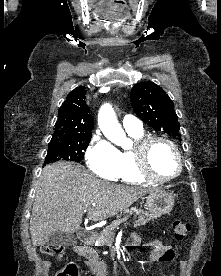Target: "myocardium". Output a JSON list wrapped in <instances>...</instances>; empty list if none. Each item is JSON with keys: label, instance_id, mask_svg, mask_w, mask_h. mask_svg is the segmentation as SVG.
Here are the masks:
<instances>
[{"label": "myocardium", "instance_id": "1", "mask_svg": "<svg viewBox=\"0 0 221 276\" xmlns=\"http://www.w3.org/2000/svg\"><path fill=\"white\" fill-rule=\"evenodd\" d=\"M157 141H163L173 149L178 162V168L176 173L169 176H159L151 170L148 155L149 149L152 146V144H154ZM133 155L139 175L148 181L166 182L173 180L181 174L183 169V159L180 149L172 139L166 136L150 135L142 137L141 139L136 141L135 147L133 149Z\"/></svg>", "mask_w": 221, "mask_h": 276}]
</instances>
